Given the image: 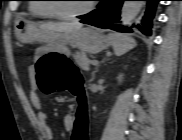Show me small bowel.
Returning <instances> with one entry per match:
<instances>
[{
  "label": "small bowel",
  "instance_id": "1",
  "mask_svg": "<svg viewBox=\"0 0 182 140\" xmlns=\"http://www.w3.org/2000/svg\"><path fill=\"white\" fill-rule=\"evenodd\" d=\"M42 57V52L40 50L36 51L34 55V61L35 63ZM35 72V65L30 66L29 68V74L32 75ZM30 99L32 102V105L38 110L37 113V120L39 122L40 128L44 134V137L46 140H51L53 138V132L48 122V115L47 113L42 110V103L39 98V96L32 92L30 95ZM64 126L67 130H70L72 127V117L66 116L64 118Z\"/></svg>",
  "mask_w": 182,
  "mask_h": 140
}]
</instances>
